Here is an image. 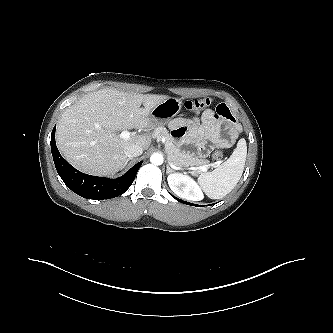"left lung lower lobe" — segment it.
Listing matches in <instances>:
<instances>
[{
	"mask_svg": "<svg viewBox=\"0 0 333 333\" xmlns=\"http://www.w3.org/2000/svg\"><path fill=\"white\" fill-rule=\"evenodd\" d=\"M174 197V196H173ZM175 199H177L176 197H174ZM178 201H180V202H182V203H185V204H187V205H194V204H191V203H189V202H185V201H182V200H180V199H177ZM194 206H197V205H194Z\"/></svg>",
	"mask_w": 333,
	"mask_h": 333,
	"instance_id": "left-lung-lower-lobe-1",
	"label": "left lung lower lobe"
}]
</instances>
